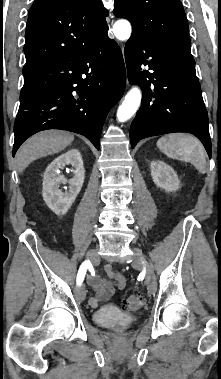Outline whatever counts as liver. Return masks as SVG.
Returning <instances> with one entry per match:
<instances>
[{
  "label": "liver",
  "mask_w": 221,
  "mask_h": 379,
  "mask_svg": "<svg viewBox=\"0 0 221 379\" xmlns=\"http://www.w3.org/2000/svg\"><path fill=\"white\" fill-rule=\"evenodd\" d=\"M73 140V134L61 130H47L35 134L26 140L16 154L19 172L22 173L31 162L38 158L62 151Z\"/></svg>",
  "instance_id": "liver-1"
}]
</instances>
